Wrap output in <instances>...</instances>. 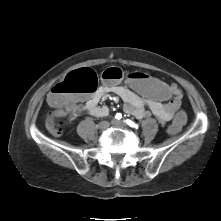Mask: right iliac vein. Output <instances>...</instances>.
Wrapping results in <instances>:
<instances>
[{"label":"right iliac vein","mask_w":221,"mask_h":221,"mask_svg":"<svg viewBox=\"0 0 221 221\" xmlns=\"http://www.w3.org/2000/svg\"><path fill=\"white\" fill-rule=\"evenodd\" d=\"M109 127V122L108 121H102L98 124V128L101 130H104Z\"/></svg>","instance_id":"1"}]
</instances>
